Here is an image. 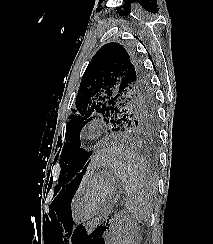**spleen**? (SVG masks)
<instances>
[{"mask_svg": "<svg viewBox=\"0 0 213 244\" xmlns=\"http://www.w3.org/2000/svg\"><path fill=\"white\" fill-rule=\"evenodd\" d=\"M105 165H109L122 182L127 212L136 221L148 219L152 212L154 184L144 159L128 150L113 149Z\"/></svg>", "mask_w": 213, "mask_h": 244, "instance_id": "obj_1", "label": "spleen"}]
</instances>
